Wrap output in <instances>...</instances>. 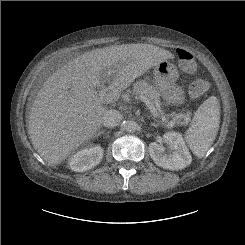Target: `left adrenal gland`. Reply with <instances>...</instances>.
I'll return each instance as SVG.
<instances>
[{
    "label": "left adrenal gland",
    "mask_w": 245,
    "mask_h": 245,
    "mask_svg": "<svg viewBox=\"0 0 245 245\" xmlns=\"http://www.w3.org/2000/svg\"><path fill=\"white\" fill-rule=\"evenodd\" d=\"M151 126H154V127H156L157 125L153 123V124H151Z\"/></svg>",
    "instance_id": "a2214340"
}]
</instances>
